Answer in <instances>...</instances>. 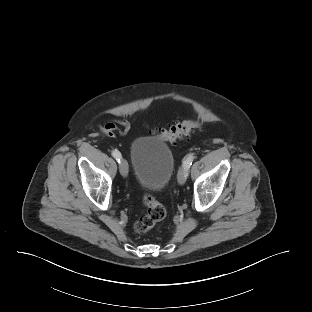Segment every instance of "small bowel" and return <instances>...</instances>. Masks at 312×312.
I'll return each mask as SVG.
<instances>
[{
  "label": "small bowel",
  "instance_id": "obj_1",
  "mask_svg": "<svg viewBox=\"0 0 312 312\" xmlns=\"http://www.w3.org/2000/svg\"><path fill=\"white\" fill-rule=\"evenodd\" d=\"M99 130L108 137L125 135L130 130V124L124 119H111L103 125H99Z\"/></svg>",
  "mask_w": 312,
  "mask_h": 312
}]
</instances>
